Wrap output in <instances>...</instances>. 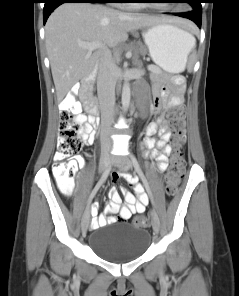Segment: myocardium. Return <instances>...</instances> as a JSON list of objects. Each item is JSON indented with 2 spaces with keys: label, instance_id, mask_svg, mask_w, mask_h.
Instances as JSON below:
<instances>
[{
  "label": "myocardium",
  "instance_id": "f54148a6",
  "mask_svg": "<svg viewBox=\"0 0 239 296\" xmlns=\"http://www.w3.org/2000/svg\"><path fill=\"white\" fill-rule=\"evenodd\" d=\"M146 5L152 6L153 4L148 3V4H146ZM160 8H162V9H167V8H164V7H160Z\"/></svg>",
  "mask_w": 239,
  "mask_h": 296
}]
</instances>
